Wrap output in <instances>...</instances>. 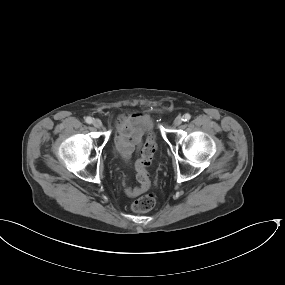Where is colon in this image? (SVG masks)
<instances>
[{
    "label": "colon",
    "instance_id": "1",
    "mask_svg": "<svg viewBox=\"0 0 285 285\" xmlns=\"http://www.w3.org/2000/svg\"><path fill=\"white\" fill-rule=\"evenodd\" d=\"M156 151V141L153 135L149 134L145 140L141 158L136 163V177L140 184V189L146 190L150 185L149 172L147 167L151 164ZM156 204L153 194H146L132 203V210L143 213L151 210Z\"/></svg>",
    "mask_w": 285,
    "mask_h": 285
}]
</instances>
